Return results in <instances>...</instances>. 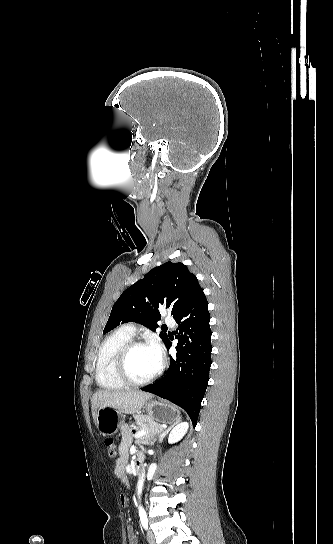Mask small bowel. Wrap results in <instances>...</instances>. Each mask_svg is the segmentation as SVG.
Listing matches in <instances>:
<instances>
[{"label": "small bowel", "mask_w": 333, "mask_h": 544, "mask_svg": "<svg viewBox=\"0 0 333 544\" xmlns=\"http://www.w3.org/2000/svg\"><path fill=\"white\" fill-rule=\"evenodd\" d=\"M131 432L128 427L122 428V439L119 445V456L115 462V475L121 483L128 485V477L126 474V465L128 460V450L131 444ZM121 506L126 508L128 505V500L126 496L122 495L120 497ZM128 542L129 544H137V537L134 533V530L131 526H128L126 529Z\"/></svg>", "instance_id": "obj_1"}]
</instances>
